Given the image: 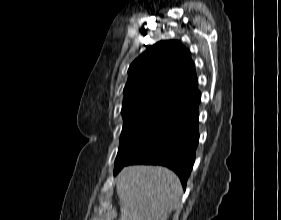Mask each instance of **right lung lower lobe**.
Here are the masks:
<instances>
[{"instance_id": "98d812e1", "label": "right lung lower lobe", "mask_w": 281, "mask_h": 220, "mask_svg": "<svg viewBox=\"0 0 281 220\" xmlns=\"http://www.w3.org/2000/svg\"><path fill=\"white\" fill-rule=\"evenodd\" d=\"M199 104L200 97L175 113L154 137L114 174L130 164L163 165L179 176L185 188L199 141Z\"/></svg>"}]
</instances>
